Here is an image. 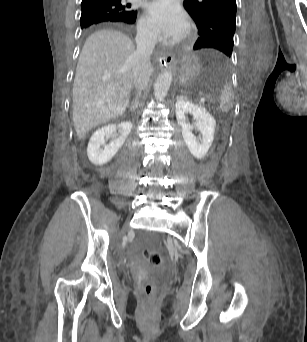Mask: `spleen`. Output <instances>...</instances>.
Returning <instances> with one entry per match:
<instances>
[{
    "label": "spleen",
    "instance_id": "1",
    "mask_svg": "<svg viewBox=\"0 0 307 342\" xmlns=\"http://www.w3.org/2000/svg\"><path fill=\"white\" fill-rule=\"evenodd\" d=\"M233 100L234 96L230 84H224L220 92L219 110H222L223 114H230Z\"/></svg>",
    "mask_w": 307,
    "mask_h": 342
}]
</instances>
